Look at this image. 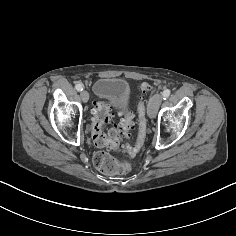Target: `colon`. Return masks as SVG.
<instances>
[{"label":"colon","mask_w":236,"mask_h":236,"mask_svg":"<svg viewBox=\"0 0 236 236\" xmlns=\"http://www.w3.org/2000/svg\"><path fill=\"white\" fill-rule=\"evenodd\" d=\"M141 90L143 93H149L152 91V87L148 83H142ZM137 114L139 134L136 142L130 145L126 138L129 137L134 128L132 114L128 111L123 112L121 122L111 127L108 132H105V128L110 123L114 113L108 103L104 101L96 103L92 117V139L94 145L99 148L119 149L131 154L136 153L141 148L146 137L147 119L144 100L139 102ZM93 161L101 172L107 174L126 173L131 170L129 163L121 162L110 153L104 151L96 153Z\"/></svg>","instance_id":"obj_1"}]
</instances>
